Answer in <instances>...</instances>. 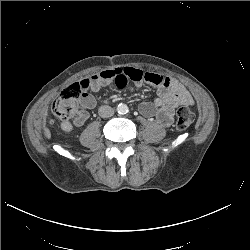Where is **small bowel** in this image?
<instances>
[{
    "instance_id": "1",
    "label": "small bowel",
    "mask_w": 250,
    "mask_h": 250,
    "mask_svg": "<svg viewBox=\"0 0 250 250\" xmlns=\"http://www.w3.org/2000/svg\"><path fill=\"white\" fill-rule=\"evenodd\" d=\"M143 83L156 87L157 96L152 102L140 104L139 110L144 116L155 118L162 126H169L172 123L175 109L178 106L193 104L190 93L179 82L168 76L144 72L133 67L105 70L84 78L78 83L82 89L78 100V110L71 121H62L61 129L69 133L74 127L82 126L87 121L89 110L93 109L97 103L90 91L98 92L110 84L118 89L132 91Z\"/></svg>"
}]
</instances>
